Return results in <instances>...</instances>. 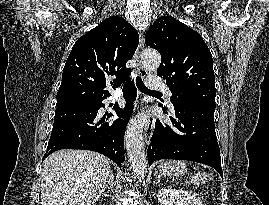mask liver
<instances>
[{"label":"liver","mask_w":269,"mask_h":205,"mask_svg":"<svg viewBox=\"0 0 269 205\" xmlns=\"http://www.w3.org/2000/svg\"><path fill=\"white\" fill-rule=\"evenodd\" d=\"M110 174V161L88 150L51 154L41 174L42 205H94Z\"/></svg>","instance_id":"6515ba94"}]
</instances>
